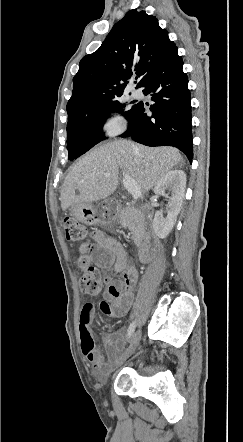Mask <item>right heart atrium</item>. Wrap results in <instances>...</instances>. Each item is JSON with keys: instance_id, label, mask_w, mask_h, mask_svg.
<instances>
[{"instance_id": "right-heart-atrium-1", "label": "right heart atrium", "mask_w": 243, "mask_h": 442, "mask_svg": "<svg viewBox=\"0 0 243 442\" xmlns=\"http://www.w3.org/2000/svg\"><path fill=\"white\" fill-rule=\"evenodd\" d=\"M126 125V119L122 115L112 112L107 115L102 127L105 134L114 136L120 134L126 128Z\"/></svg>"}]
</instances>
